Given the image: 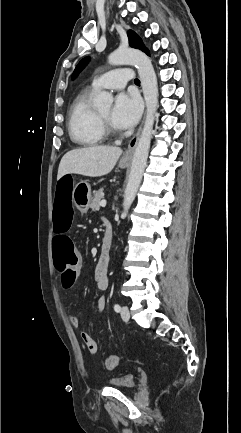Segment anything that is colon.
Wrapping results in <instances>:
<instances>
[{"mask_svg":"<svg viewBox=\"0 0 241 433\" xmlns=\"http://www.w3.org/2000/svg\"><path fill=\"white\" fill-rule=\"evenodd\" d=\"M70 172H63L61 177L57 178L54 188L53 206V226L55 234L52 236L51 249L54 256L55 264L61 273L65 287H69L75 277L79 264V258L75 251L72 234H66L68 226H71L73 208L70 207L71 195L73 193V182ZM118 364L116 355H109L104 365L106 369L112 370Z\"/></svg>","mask_w":241,"mask_h":433,"instance_id":"1","label":"colon"}]
</instances>
